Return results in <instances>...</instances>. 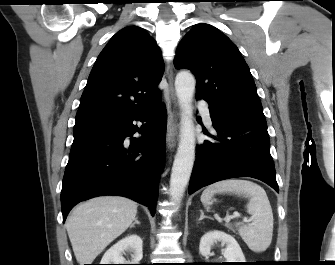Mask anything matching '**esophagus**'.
I'll use <instances>...</instances> for the list:
<instances>
[{
  "label": "esophagus",
  "instance_id": "34e87169",
  "mask_svg": "<svg viewBox=\"0 0 335 265\" xmlns=\"http://www.w3.org/2000/svg\"><path fill=\"white\" fill-rule=\"evenodd\" d=\"M166 76L169 82L168 101L166 102V107H167V112H168L166 143H167L168 148H172L175 145V137L178 131V124L171 110V106H173V108H176L178 102H177V97H176L175 90L173 87L172 68L169 64L167 65V68H166Z\"/></svg>",
  "mask_w": 335,
  "mask_h": 265
}]
</instances>
